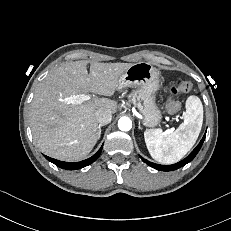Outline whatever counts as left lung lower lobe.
Masks as SVG:
<instances>
[{"instance_id": "obj_1", "label": "left lung lower lobe", "mask_w": 231, "mask_h": 231, "mask_svg": "<svg viewBox=\"0 0 231 231\" xmlns=\"http://www.w3.org/2000/svg\"><path fill=\"white\" fill-rule=\"evenodd\" d=\"M206 133L203 136L202 140L200 141V143L197 145V147L188 155V157H186L185 159H183L182 161L173 164V165H159V164H155L152 162H149L148 160L144 159L141 157V159L149 166H151L154 169L160 170V171H173L176 169L181 168L182 166L186 165L187 163H189L190 161H192L194 159V157L197 155V153L199 152L200 148L202 147V144L204 142Z\"/></svg>"}]
</instances>
